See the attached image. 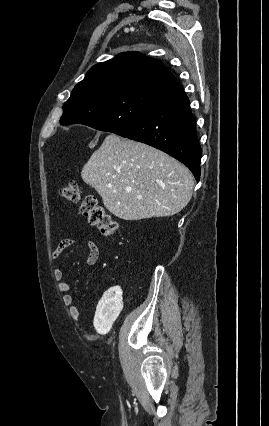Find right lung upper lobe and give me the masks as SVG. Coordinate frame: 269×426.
<instances>
[{"mask_svg":"<svg viewBox=\"0 0 269 426\" xmlns=\"http://www.w3.org/2000/svg\"><path fill=\"white\" fill-rule=\"evenodd\" d=\"M177 80L156 59L139 52L121 53L115 58L94 65L72 91L84 96L118 90L162 92Z\"/></svg>","mask_w":269,"mask_h":426,"instance_id":"cb5924a9","label":"right lung upper lobe"}]
</instances>
